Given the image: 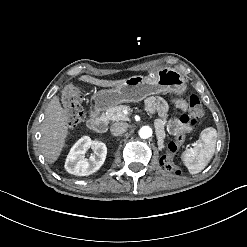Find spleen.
Masks as SVG:
<instances>
[{
    "label": "spleen",
    "mask_w": 247,
    "mask_h": 247,
    "mask_svg": "<svg viewBox=\"0 0 247 247\" xmlns=\"http://www.w3.org/2000/svg\"><path fill=\"white\" fill-rule=\"evenodd\" d=\"M216 141V129L208 127L201 132L199 144L196 147L187 149L183 152V163L191 174L201 172L208 165L213 156Z\"/></svg>",
    "instance_id": "1"
}]
</instances>
